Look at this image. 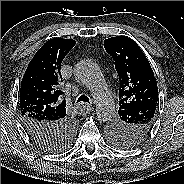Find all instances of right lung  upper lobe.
I'll return each instance as SVG.
<instances>
[{
  "instance_id": "obj_1",
  "label": "right lung upper lobe",
  "mask_w": 184,
  "mask_h": 184,
  "mask_svg": "<svg viewBox=\"0 0 184 184\" xmlns=\"http://www.w3.org/2000/svg\"><path fill=\"white\" fill-rule=\"evenodd\" d=\"M70 39L48 40L34 55L23 76L20 88L21 115H35L48 121L66 118V103L60 90L61 63L75 46Z\"/></svg>"
}]
</instances>
